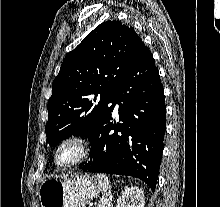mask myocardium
I'll return each mask as SVG.
<instances>
[{"mask_svg":"<svg viewBox=\"0 0 220 207\" xmlns=\"http://www.w3.org/2000/svg\"><path fill=\"white\" fill-rule=\"evenodd\" d=\"M74 146L77 150L73 159L67 162H60L58 160L60 151L66 146ZM91 143L90 141L79 133H70L64 136L56 145L53 153L54 164L59 168H67L75 166L84 161L90 154Z\"/></svg>","mask_w":220,"mask_h":207,"instance_id":"myocardium-1","label":"myocardium"}]
</instances>
